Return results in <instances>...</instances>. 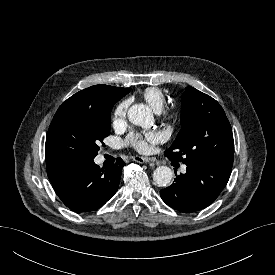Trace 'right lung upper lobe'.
Instances as JSON below:
<instances>
[{"label": "right lung upper lobe", "instance_id": "cb5924a9", "mask_svg": "<svg viewBox=\"0 0 275 275\" xmlns=\"http://www.w3.org/2000/svg\"><path fill=\"white\" fill-rule=\"evenodd\" d=\"M130 92L129 88L95 85L81 90L62 103L53 119L83 111H101Z\"/></svg>", "mask_w": 275, "mask_h": 275}]
</instances>
